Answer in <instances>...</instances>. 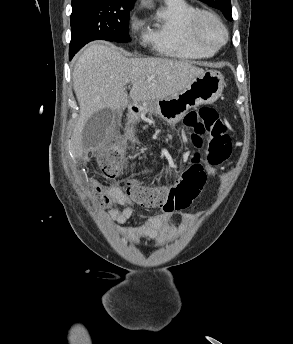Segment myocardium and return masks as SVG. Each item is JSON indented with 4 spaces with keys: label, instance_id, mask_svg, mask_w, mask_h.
I'll use <instances>...</instances> for the list:
<instances>
[{
    "label": "myocardium",
    "instance_id": "f54148a6",
    "mask_svg": "<svg viewBox=\"0 0 293 344\" xmlns=\"http://www.w3.org/2000/svg\"><path fill=\"white\" fill-rule=\"evenodd\" d=\"M211 22L215 24L222 32V39L215 45L208 44L202 34V27L204 23ZM189 33L193 42L199 47L216 52L221 49L228 40V30L222 20L213 12L199 11L191 20L189 25Z\"/></svg>",
    "mask_w": 293,
    "mask_h": 344
}]
</instances>
